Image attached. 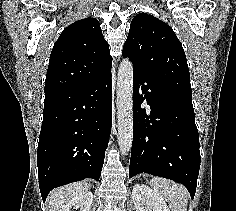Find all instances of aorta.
Masks as SVG:
<instances>
[{
  "label": "aorta",
  "instance_id": "1",
  "mask_svg": "<svg viewBox=\"0 0 236 211\" xmlns=\"http://www.w3.org/2000/svg\"><path fill=\"white\" fill-rule=\"evenodd\" d=\"M117 127L121 154H127L133 141V65L124 59L117 74Z\"/></svg>",
  "mask_w": 236,
  "mask_h": 211
}]
</instances>
